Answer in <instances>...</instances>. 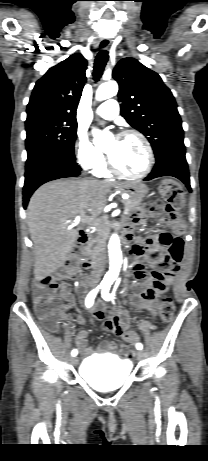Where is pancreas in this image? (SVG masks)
<instances>
[{
  "label": "pancreas",
  "instance_id": "1",
  "mask_svg": "<svg viewBox=\"0 0 208 461\" xmlns=\"http://www.w3.org/2000/svg\"><path fill=\"white\" fill-rule=\"evenodd\" d=\"M122 203L124 204L125 209L128 210L129 213L135 212L140 209V204H141V199H133L130 198L128 200H123ZM98 235L101 234V230H98ZM99 241V236L96 238L92 239L88 246L86 247V250L88 252L94 253L97 250V242Z\"/></svg>",
  "mask_w": 208,
  "mask_h": 461
}]
</instances>
